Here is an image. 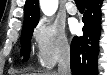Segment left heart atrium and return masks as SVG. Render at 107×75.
<instances>
[{"instance_id": "left-heart-atrium-1", "label": "left heart atrium", "mask_w": 107, "mask_h": 75, "mask_svg": "<svg viewBox=\"0 0 107 75\" xmlns=\"http://www.w3.org/2000/svg\"><path fill=\"white\" fill-rule=\"evenodd\" d=\"M77 28H76V26L73 28V30L75 31Z\"/></svg>"}]
</instances>
